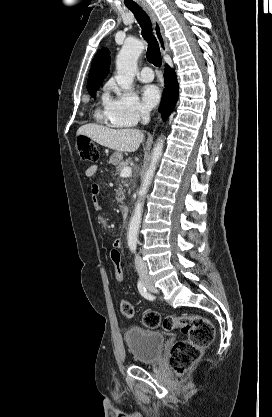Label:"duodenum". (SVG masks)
Returning <instances> with one entry per match:
<instances>
[{"instance_id":"1","label":"duodenum","mask_w":272,"mask_h":417,"mask_svg":"<svg viewBox=\"0 0 272 417\" xmlns=\"http://www.w3.org/2000/svg\"><path fill=\"white\" fill-rule=\"evenodd\" d=\"M121 213H122L123 217L126 218L128 216V213H129V207L127 205L123 204L121 206Z\"/></svg>"}]
</instances>
